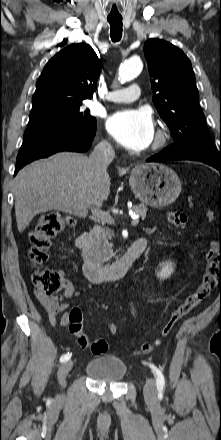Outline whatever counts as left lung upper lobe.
I'll return each mask as SVG.
<instances>
[{
	"label": "left lung upper lobe",
	"instance_id": "obj_1",
	"mask_svg": "<svg viewBox=\"0 0 221 440\" xmlns=\"http://www.w3.org/2000/svg\"><path fill=\"white\" fill-rule=\"evenodd\" d=\"M153 103L168 125L174 144L165 149L191 160L221 162L198 103L195 75L188 57L160 39L144 44Z\"/></svg>",
	"mask_w": 221,
	"mask_h": 440
}]
</instances>
